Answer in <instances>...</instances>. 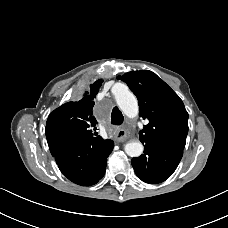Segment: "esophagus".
<instances>
[{"label": "esophagus", "instance_id": "1", "mask_svg": "<svg viewBox=\"0 0 228 228\" xmlns=\"http://www.w3.org/2000/svg\"><path fill=\"white\" fill-rule=\"evenodd\" d=\"M126 137H127V132L124 128H120L115 135V139L118 142H123L126 139Z\"/></svg>", "mask_w": 228, "mask_h": 228}]
</instances>
